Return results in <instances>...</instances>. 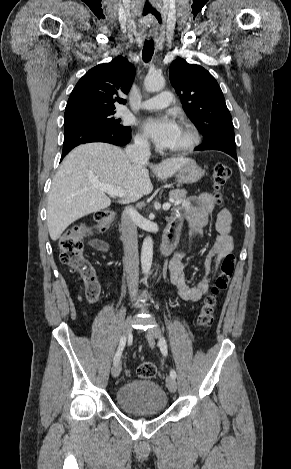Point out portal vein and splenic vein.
<instances>
[{
    "mask_svg": "<svg viewBox=\"0 0 291 469\" xmlns=\"http://www.w3.org/2000/svg\"><path fill=\"white\" fill-rule=\"evenodd\" d=\"M94 187L98 190H102L106 192L110 196H118V197L124 196L123 189L117 186L95 183ZM170 206H171L170 203L163 204V210H168Z\"/></svg>",
    "mask_w": 291,
    "mask_h": 469,
    "instance_id": "obj_1",
    "label": "portal vein and splenic vein"
}]
</instances>
